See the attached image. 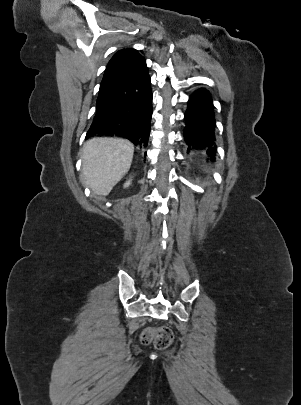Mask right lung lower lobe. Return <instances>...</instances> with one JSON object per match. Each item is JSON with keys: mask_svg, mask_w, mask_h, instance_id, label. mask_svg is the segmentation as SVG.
<instances>
[{"mask_svg": "<svg viewBox=\"0 0 301 405\" xmlns=\"http://www.w3.org/2000/svg\"><path fill=\"white\" fill-rule=\"evenodd\" d=\"M152 112L151 80L143 58L119 82L99 94L86 138L124 137L145 148Z\"/></svg>", "mask_w": 301, "mask_h": 405, "instance_id": "1", "label": "right lung lower lobe"}]
</instances>
